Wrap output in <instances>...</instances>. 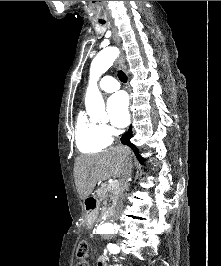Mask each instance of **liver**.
I'll list each match as a JSON object with an SVG mask.
<instances>
[{
	"label": "liver",
	"mask_w": 221,
	"mask_h": 266,
	"mask_svg": "<svg viewBox=\"0 0 221 266\" xmlns=\"http://www.w3.org/2000/svg\"><path fill=\"white\" fill-rule=\"evenodd\" d=\"M131 150L118 146L97 154L80 155L74 163V180L79 197L87 199L98 181L111 177L121 179L125 169V157Z\"/></svg>",
	"instance_id": "obj_1"
}]
</instances>
